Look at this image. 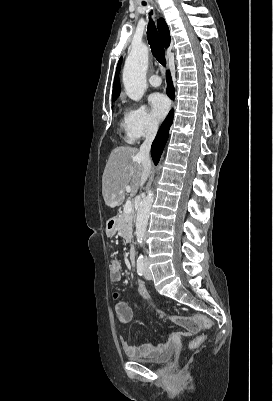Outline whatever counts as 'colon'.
<instances>
[{"label": "colon", "instance_id": "colon-1", "mask_svg": "<svg viewBox=\"0 0 273 401\" xmlns=\"http://www.w3.org/2000/svg\"><path fill=\"white\" fill-rule=\"evenodd\" d=\"M136 293L139 294L140 298L147 301L151 307H154V312L159 313L161 316L168 315L169 311L166 305H158L159 303L155 298H153V292L147 288L145 283H140L136 288ZM117 314V311H115ZM171 320L178 323L179 327L184 328L186 333H200L203 328H213L215 322L213 319H204L203 314H193V319H185L178 313H171L169 315ZM199 319L198 321L194 319ZM207 340V335L205 333H200L198 337H191L189 344L186 347L188 353H198L200 348L203 346L204 342Z\"/></svg>", "mask_w": 273, "mask_h": 401}]
</instances>
